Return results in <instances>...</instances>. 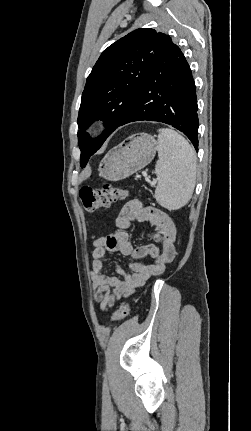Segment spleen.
<instances>
[{"instance_id": "1", "label": "spleen", "mask_w": 251, "mask_h": 431, "mask_svg": "<svg viewBox=\"0 0 251 431\" xmlns=\"http://www.w3.org/2000/svg\"><path fill=\"white\" fill-rule=\"evenodd\" d=\"M157 151L156 201L168 210H177L188 203L195 188V151L182 135L169 128L158 130Z\"/></svg>"}]
</instances>
